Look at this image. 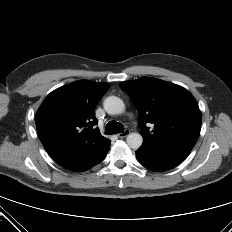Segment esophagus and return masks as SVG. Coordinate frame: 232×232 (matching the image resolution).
I'll return each mask as SVG.
<instances>
[{"label": "esophagus", "instance_id": "34e87169", "mask_svg": "<svg viewBox=\"0 0 232 232\" xmlns=\"http://www.w3.org/2000/svg\"><path fill=\"white\" fill-rule=\"evenodd\" d=\"M130 134L129 130H125L123 133L118 134L119 138H125Z\"/></svg>", "mask_w": 232, "mask_h": 232}]
</instances>
